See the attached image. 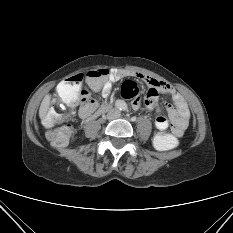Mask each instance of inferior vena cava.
Masks as SVG:
<instances>
[{"mask_svg":"<svg viewBox=\"0 0 233 233\" xmlns=\"http://www.w3.org/2000/svg\"><path fill=\"white\" fill-rule=\"evenodd\" d=\"M119 116V113L117 111H114V113L110 116L111 119L116 118Z\"/></svg>","mask_w":233,"mask_h":233,"instance_id":"inferior-vena-cava-1","label":"inferior vena cava"}]
</instances>
